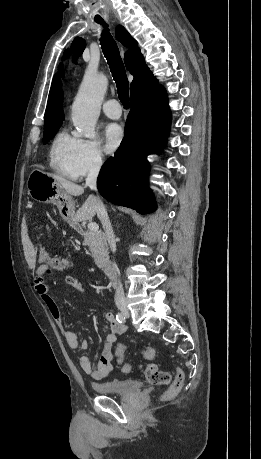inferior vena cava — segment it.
<instances>
[{"label":"inferior vena cava","mask_w":261,"mask_h":459,"mask_svg":"<svg viewBox=\"0 0 261 459\" xmlns=\"http://www.w3.org/2000/svg\"><path fill=\"white\" fill-rule=\"evenodd\" d=\"M101 165H102V160L100 156H96L90 164L89 172L86 178V186H89L92 190L97 189L96 181H97V176L99 174ZM93 199H94L95 210H96L97 216L100 219L103 225V228L105 230L106 238L109 243L110 249L112 252H115L116 251L115 236L113 233L111 223L109 221V217H108L106 208L102 200L98 196L97 197L93 196ZM115 289H116L115 291L116 304L124 303L125 295H124V290H123L120 280H118V283Z\"/></svg>","instance_id":"602c4592"}]
</instances>
